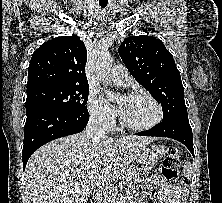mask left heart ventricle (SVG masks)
I'll return each mask as SVG.
<instances>
[{"label":"left heart ventricle","mask_w":222,"mask_h":203,"mask_svg":"<svg viewBox=\"0 0 222 203\" xmlns=\"http://www.w3.org/2000/svg\"><path fill=\"white\" fill-rule=\"evenodd\" d=\"M118 103L124 119L133 125L148 124L157 116L156 107L145 97L121 96Z\"/></svg>","instance_id":"obj_1"}]
</instances>
